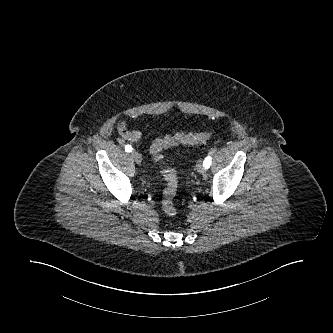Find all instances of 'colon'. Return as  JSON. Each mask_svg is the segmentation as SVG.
I'll list each match as a JSON object with an SVG mask.
<instances>
[{"mask_svg": "<svg viewBox=\"0 0 333 333\" xmlns=\"http://www.w3.org/2000/svg\"><path fill=\"white\" fill-rule=\"evenodd\" d=\"M211 137L210 133H177L172 136H165L156 139L150 148V153L154 160L161 164L162 151L168 147L176 145H199L207 142ZM161 174L166 181L161 202L162 210L169 216H174L177 209L174 204V197L178 188V179L174 169L162 167Z\"/></svg>", "mask_w": 333, "mask_h": 333, "instance_id": "colon-1", "label": "colon"}]
</instances>
